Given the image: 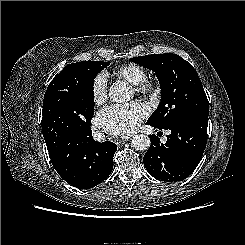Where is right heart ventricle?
<instances>
[{
	"mask_svg": "<svg viewBox=\"0 0 245 245\" xmlns=\"http://www.w3.org/2000/svg\"><path fill=\"white\" fill-rule=\"evenodd\" d=\"M114 74L117 78L122 79L131 85H136L147 77L145 68L135 63H128L120 66L115 70Z\"/></svg>",
	"mask_w": 245,
	"mask_h": 245,
	"instance_id": "right-heart-ventricle-1",
	"label": "right heart ventricle"
}]
</instances>
